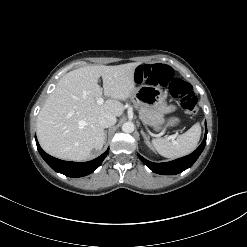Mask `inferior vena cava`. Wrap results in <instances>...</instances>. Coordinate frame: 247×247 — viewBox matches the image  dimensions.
<instances>
[{"label": "inferior vena cava", "instance_id": "602c4592", "mask_svg": "<svg viewBox=\"0 0 247 247\" xmlns=\"http://www.w3.org/2000/svg\"><path fill=\"white\" fill-rule=\"evenodd\" d=\"M98 123L103 128H108L116 124V116L110 113L101 114Z\"/></svg>", "mask_w": 247, "mask_h": 247}]
</instances>
